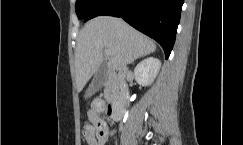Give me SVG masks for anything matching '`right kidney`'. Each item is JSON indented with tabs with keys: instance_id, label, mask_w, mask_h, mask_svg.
Segmentation results:
<instances>
[{
	"instance_id": "right-kidney-1",
	"label": "right kidney",
	"mask_w": 243,
	"mask_h": 145,
	"mask_svg": "<svg viewBox=\"0 0 243 145\" xmlns=\"http://www.w3.org/2000/svg\"><path fill=\"white\" fill-rule=\"evenodd\" d=\"M161 68V61L155 57H149L141 61L134 69L135 80L142 86L153 83Z\"/></svg>"
}]
</instances>
